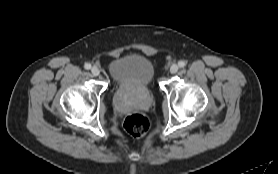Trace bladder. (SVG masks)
Returning a JSON list of instances; mask_svg holds the SVG:
<instances>
[{
  "label": "bladder",
  "mask_w": 278,
  "mask_h": 174,
  "mask_svg": "<svg viewBox=\"0 0 278 174\" xmlns=\"http://www.w3.org/2000/svg\"><path fill=\"white\" fill-rule=\"evenodd\" d=\"M109 73L115 87L127 91L148 90L154 79L152 63L138 53H127L113 59Z\"/></svg>",
  "instance_id": "obj_1"
}]
</instances>
